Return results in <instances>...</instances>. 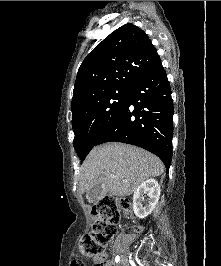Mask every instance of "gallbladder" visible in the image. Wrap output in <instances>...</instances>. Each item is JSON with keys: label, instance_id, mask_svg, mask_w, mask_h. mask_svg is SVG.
I'll list each match as a JSON object with an SVG mask.
<instances>
[{"label": "gallbladder", "instance_id": "bac80fb5", "mask_svg": "<svg viewBox=\"0 0 221 266\" xmlns=\"http://www.w3.org/2000/svg\"><path fill=\"white\" fill-rule=\"evenodd\" d=\"M106 194V192L103 190L101 184H97L91 189H89L86 193V199L89 202H98L103 198V196Z\"/></svg>", "mask_w": 221, "mask_h": 266}]
</instances>
